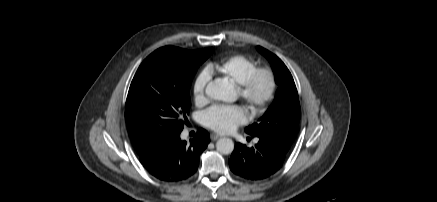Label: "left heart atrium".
I'll use <instances>...</instances> for the list:
<instances>
[{
  "mask_svg": "<svg viewBox=\"0 0 437 202\" xmlns=\"http://www.w3.org/2000/svg\"><path fill=\"white\" fill-rule=\"evenodd\" d=\"M247 121V112L244 107L234 106H213L205 111L203 123L208 128L218 133H230L238 125Z\"/></svg>",
  "mask_w": 437,
  "mask_h": 202,
  "instance_id": "1",
  "label": "left heart atrium"
}]
</instances>
